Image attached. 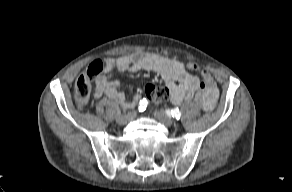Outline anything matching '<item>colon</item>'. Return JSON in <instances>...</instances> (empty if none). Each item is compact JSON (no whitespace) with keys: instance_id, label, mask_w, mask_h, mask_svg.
Masks as SVG:
<instances>
[{"instance_id":"obj_1","label":"colon","mask_w":292,"mask_h":192,"mask_svg":"<svg viewBox=\"0 0 292 192\" xmlns=\"http://www.w3.org/2000/svg\"><path fill=\"white\" fill-rule=\"evenodd\" d=\"M107 63L95 60L89 64L86 70L78 77L74 86V98L79 106H84L90 97L91 81L106 70ZM146 98L154 104L162 103L169 98L166 88L148 84L145 89Z\"/></svg>"}]
</instances>
